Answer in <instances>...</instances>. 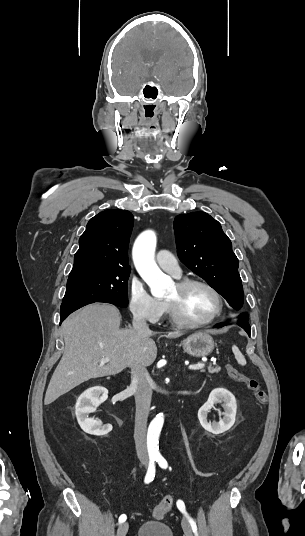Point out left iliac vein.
<instances>
[{"mask_svg":"<svg viewBox=\"0 0 305 536\" xmlns=\"http://www.w3.org/2000/svg\"><path fill=\"white\" fill-rule=\"evenodd\" d=\"M182 528L185 536H193L191 525L185 516L182 518Z\"/></svg>","mask_w":305,"mask_h":536,"instance_id":"left-iliac-vein-1","label":"left iliac vein"}]
</instances>
